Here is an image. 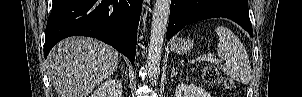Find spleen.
Masks as SVG:
<instances>
[{"label": "spleen", "instance_id": "obj_1", "mask_svg": "<svg viewBox=\"0 0 302 97\" xmlns=\"http://www.w3.org/2000/svg\"><path fill=\"white\" fill-rule=\"evenodd\" d=\"M215 32L218 35L217 54L225 60V63L221 65V70L239 82L249 83L251 65L243 44L226 27L218 26Z\"/></svg>", "mask_w": 302, "mask_h": 97}]
</instances>
